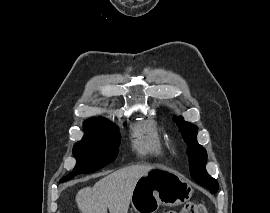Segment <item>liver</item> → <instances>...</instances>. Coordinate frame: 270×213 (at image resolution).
Listing matches in <instances>:
<instances>
[{
  "label": "liver",
  "instance_id": "1",
  "mask_svg": "<svg viewBox=\"0 0 270 213\" xmlns=\"http://www.w3.org/2000/svg\"><path fill=\"white\" fill-rule=\"evenodd\" d=\"M152 165H132L119 169L95 183L78 191L76 203L81 213H128L136 182Z\"/></svg>",
  "mask_w": 270,
  "mask_h": 213
}]
</instances>
